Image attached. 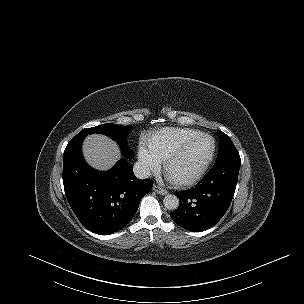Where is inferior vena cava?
<instances>
[{
  "mask_svg": "<svg viewBox=\"0 0 304 304\" xmlns=\"http://www.w3.org/2000/svg\"><path fill=\"white\" fill-rule=\"evenodd\" d=\"M133 171L135 176L139 179H146L151 175L150 168L142 162H136L133 166Z\"/></svg>",
  "mask_w": 304,
  "mask_h": 304,
  "instance_id": "602c4592",
  "label": "inferior vena cava"
}]
</instances>
